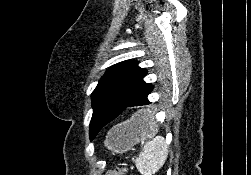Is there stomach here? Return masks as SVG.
<instances>
[{"instance_id": "0dacf381", "label": "stomach", "mask_w": 251, "mask_h": 175, "mask_svg": "<svg viewBox=\"0 0 251 175\" xmlns=\"http://www.w3.org/2000/svg\"><path fill=\"white\" fill-rule=\"evenodd\" d=\"M156 128H161V118H154L151 114H140L138 111L130 119L113 125L105 135V145L113 153H125L135 143L153 137ZM163 133V130H160Z\"/></svg>"}]
</instances>
